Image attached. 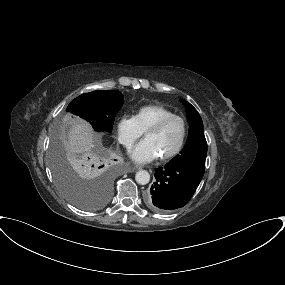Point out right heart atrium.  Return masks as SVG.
Listing matches in <instances>:
<instances>
[{"instance_id": "d8ad5b80", "label": "right heart atrium", "mask_w": 285, "mask_h": 285, "mask_svg": "<svg viewBox=\"0 0 285 285\" xmlns=\"http://www.w3.org/2000/svg\"><path fill=\"white\" fill-rule=\"evenodd\" d=\"M118 141L126 148H131L134 142L142 135L135 119L129 115L119 117L115 124Z\"/></svg>"}]
</instances>
